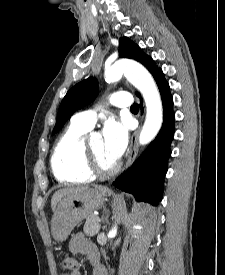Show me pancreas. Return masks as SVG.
I'll list each match as a JSON object with an SVG mask.
<instances>
[{
  "label": "pancreas",
  "mask_w": 225,
  "mask_h": 275,
  "mask_svg": "<svg viewBox=\"0 0 225 275\" xmlns=\"http://www.w3.org/2000/svg\"><path fill=\"white\" fill-rule=\"evenodd\" d=\"M100 230V223L97 221V216L90 215L85 222L83 231L88 236H95Z\"/></svg>",
  "instance_id": "obj_1"
}]
</instances>
